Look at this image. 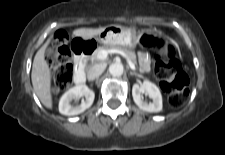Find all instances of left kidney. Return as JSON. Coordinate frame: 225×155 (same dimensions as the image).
<instances>
[{"label": "left kidney", "mask_w": 225, "mask_h": 155, "mask_svg": "<svg viewBox=\"0 0 225 155\" xmlns=\"http://www.w3.org/2000/svg\"><path fill=\"white\" fill-rule=\"evenodd\" d=\"M143 93L149 95L153 102H145L142 97ZM132 96L136 105L144 111L160 112L162 110V96L160 90L154 83L150 81L134 84L132 87Z\"/></svg>", "instance_id": "1"}]
</instances>
